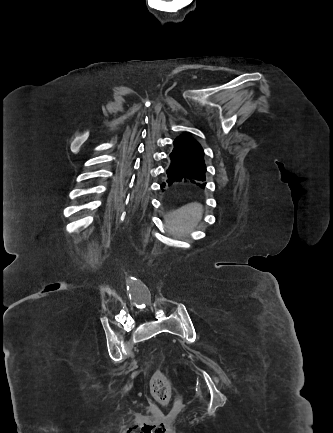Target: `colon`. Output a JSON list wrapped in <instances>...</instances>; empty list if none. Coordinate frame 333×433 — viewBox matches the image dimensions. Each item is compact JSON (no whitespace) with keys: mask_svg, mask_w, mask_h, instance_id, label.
Wrapping results in <instances>:
<instances>
[{"mask_svg":"<svg viewBox=\"0 0 333 433\" xmlns=\"http://www.w3.org/2000/svg\"><path fill=\"white\" fill-rule=\"evenodd\" d=\"M152 394L160 404H167L172 394V384L163 370H157L150 381Z\"/></svg>","mask_w":333,"mask_h":433,"instance_id":"colon-1","label":"colon"}]
</instances>
